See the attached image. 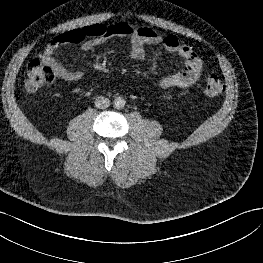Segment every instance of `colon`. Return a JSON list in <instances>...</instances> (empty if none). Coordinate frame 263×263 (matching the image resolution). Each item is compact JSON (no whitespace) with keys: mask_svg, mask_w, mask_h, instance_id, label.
Returning <instances> with one entry per match:
<instances>
[{"mask_svg":"<svg viewBox=\"0 0 263 263\" xmlns=\"http://www.w3.org/2000/svg\"><path fill=\"white\" fill-rule=\"evenodd\" d=\"M55 79L53 70L40 62L33 60L29 63L26 71L25 89L29 93H35L42 87L51 84ZM223 90V84L216 75H210L206 79L205 93L216 96Z\"/></svg>","mask_w":263,"mask_h":263,"instance_id":"1","label":"colon"}]
</instances>
